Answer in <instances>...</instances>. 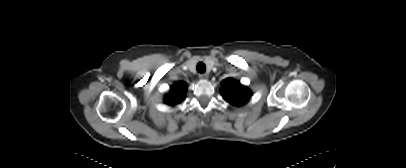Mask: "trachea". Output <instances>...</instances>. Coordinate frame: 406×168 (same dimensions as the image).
I'll return each instance as SVG.
<instances>
[{"instance_id": "3493384b", "label": "trachea", "mask_w": 406, "mask_h": 168, "mask_svg": "<svg viewBox=\"0 0 406 168\" xmlns=\"http://www.w3.org/2000/svg\"><path fill=\"white\" fill-rule=\"evenodd\" d=\"M199 73H204L206 71V66L203 62H199L196 67Z\"/></svg>"}]
</instances>
